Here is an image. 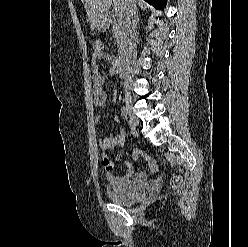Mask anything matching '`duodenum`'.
Here are the masks:
<instances>
[{"instance_id":"duodenum-1","label":"duodenum","mask_w":248,"mask_h":247,"mask_svg":"<svg viewBox=\"0 0 248 247\" xmlns=\"http://www.w3.org/2000/svg\"><path fill=\"white\" fill-rule=\"evenodd\" d=\"M130 65V58L128 55L123 54L119 60L118 68L123 72L127 73Z\"/></svg>"}]
</instances>
